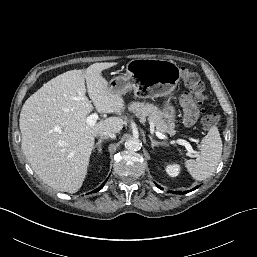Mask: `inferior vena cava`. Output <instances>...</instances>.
<instances>
[{
  "instance_id": "obj_1",
  "label": "inferior vena cava",
  "mask_w": 257,
  "mask_h": 257,
  "mask_svg": "<svg viewBox=\"0 0 257 257\" xmlns=\"http://www.w3.org/2000/svg\"><path fill=\"white\" fill-rule=\"evenodd\" d=\"M98 135L100 136V138L102 137L111 138V139L116 138V133L112 131H102Z\"/></svg>"
}]
</instances>
